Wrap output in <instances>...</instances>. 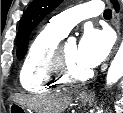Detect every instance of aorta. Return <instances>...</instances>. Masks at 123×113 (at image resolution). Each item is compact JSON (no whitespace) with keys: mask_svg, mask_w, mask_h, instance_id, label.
Masks as SVG:
<instances>
[{"mask_svg":"<svg viewBox=\"0 0 123 113\" xmlns=\"http://www.w3.org/2000/svg\"><path fill=\"white\" fill-rule=\"evenodd\" d=\"M123 76V41L119 47L117 54L115 55L106 77L107 85L116 83ZM103 111H98L102 113Z\"/></svg>","mask_w":123,"mask_h":113,"instance_id":"1","label":"aorta"}]
</instances>
